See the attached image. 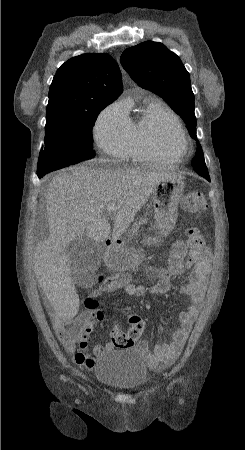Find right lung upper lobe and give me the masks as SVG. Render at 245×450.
<instances>
[{"instance_id":"right-lung-upper-lobe-1","label":"right lung upper lobe","mask_w":245,"mask_h":450,"mask_svg":"<svg viewBox=\"0 0 245 450\" xmlns=\"http://www.w3.org/2000/svg\"><path fill=\"white\" fill-rule=\"evenodd\" d=\"M123 88L121 72L106 53L73 57L57 70L49 90L47 112L89 111L97 104H110Z\"/></svg>"}]
</instances>
